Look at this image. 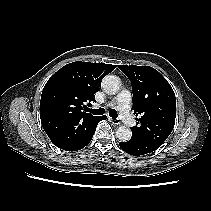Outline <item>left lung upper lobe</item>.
<instances>
[{"label":"left lung upper lobe","instance_id":"1","mask_svg":"<svg viewBox=\"0 0 211 211\" xmlns=\"http://www.w3.org/2000/svg\"><path fill=\"white\" fill-rule=\"evenodd\" d=\"M129 78L133 92L132 110L138 126L132 127V137L160 147L171 134L176 117V98L167 80L150 66L120 65Z\"/></svg>","mask_w":211,"mask_h":211}]
</instances>
